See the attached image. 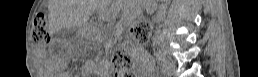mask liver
<instances>
[{
	"label": "liver",
	"mask_w": 258,
	"mask_h": 77,
	"mask_svg": "<svg viewBox=\"0 0 258 77\" xmlns=\"http://www.w3.org/2000/svg\"><path fill=\"white\" fill-rule=\"evenodd\" d=\"M62 21L69 26H74L76 24V2L74 0L65 1L62 12Z\"/></svg>",
	"instance_id": "1"
}]
</instances>
